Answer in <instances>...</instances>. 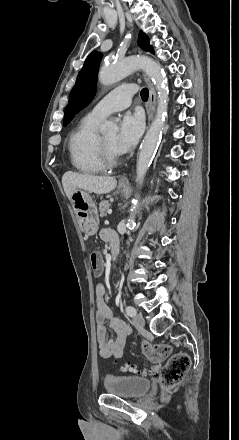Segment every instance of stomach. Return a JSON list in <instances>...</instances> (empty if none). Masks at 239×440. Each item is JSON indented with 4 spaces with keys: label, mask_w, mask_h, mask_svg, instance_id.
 Returning a JSON list of instances; mask_svg holds the SVG:
<instances>
[{
    "label": "stomach",
    "mask_w": 239,
    "mask_h": 440,
    "mask_svg": "<svg viewBox=\"0 0 239 440\" xmlns=\"http://www.w3.org/2000/svg\"><path fill=\"white\" fill-rule=\"evenodd\" d=\"M120 192H127L129 188H119ZM72 208L76 214L78 226L85 236H94L99 228V216L96 204H94L90 192L76 190L71 198Z\"/></svg>",
    "instance_id": "1"
}]
</instances>
